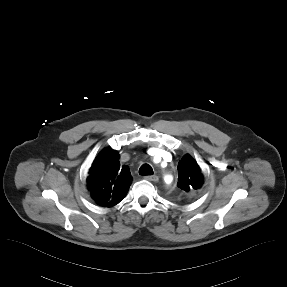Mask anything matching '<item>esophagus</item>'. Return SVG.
Masks as SVG:
<instances>
[{"mask_svg":"<svg viewBox=\"0 0 287 287\" xmlns=\"http://www.w3.org/2000/svg\"><path fill=\"white\" fill-rule=\"evenodd\" d=\"M144 178L146 180H148V181H153V182H157L158 181V177L156 175H147Z\"/></svg>","mask_w":287,"mask_h":287,"instance_id":"1","label":"esophagus"}]
</instances>
